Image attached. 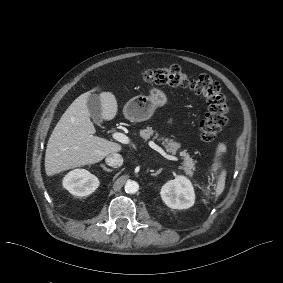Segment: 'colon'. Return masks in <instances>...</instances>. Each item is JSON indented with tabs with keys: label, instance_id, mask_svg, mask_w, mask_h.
<instances>
[{
	"label": "colon",
	"instance_id": "obj_1",
	"mask_svg": "<svg viewBox=\"0 0 283 283\" xmlns=\"http://www.w3.org/2000/svg\"><path fill=\"white\" fill-rule=\"evenodd\" d=\"M142 78L149 84L187 88L203 96L207 109L200 121V137L207 144L215 142L227 122L229 111L226 94L216 80L207 74L189 77L179 66L148 69L142 74Z\"/></svg>",
	"mask_w": 283,
	"mask_h": 283
}]
</instances>
